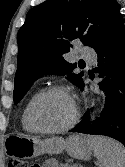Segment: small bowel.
Listing matches in <instances>:
<instances>
[{"label": "small bowel", "mask_w": 125, "mask_h": 167, "mask_svg": "<svg viewBox=\"0 0 125 167\" xmlns=\"http://www.w3.org/2000/svg\"><path fill=\"white\" fill-rule=\"evenodd\" d=\"M41 167H57V166L54 160H48Z\"/></svg>", "instance_id": "c3829d8e"}]
</instances>
